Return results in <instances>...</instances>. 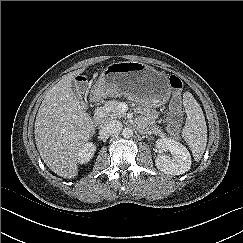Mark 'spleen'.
<instances>
[{
	"label": "spleen",
	"mask_w": 243,
	"mask_h": 243,
	"mask_svg": "<svg viewBox=\"0 0 243 243\" xmlns=\"http://www.w3.org/2000/svg\"><path fill=\"white\" fill-rule=\"evenodd\" d=\"M187 114L182 135L196 160L202 157L207 145V126L202 108L190 92L183 94Z\"/></svg>",
	"instance_id": "obj_1"
}]
</instances>
